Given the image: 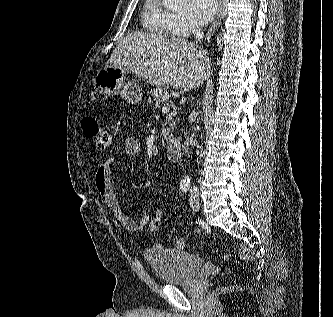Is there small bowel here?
Masks as SVG:
<instances>
[{
	"instance_id": "obj_1",
	"label": "small bowel",
	"mask_w": 333,
	"mask_h": 317,
	"mask_svg": "<svg viewBox=\"0 0 333 317\" xmlns=\"http://www.w3.org/2000/svg\"><path fill=\"white\" fill-rule=\"evenodd\" d=\"M140 140L133 135L127 136L121 146L120 152L124 155H135L140 151ZM117 153L105 158L98 166L94 181L95 187L107 208L113 214L115 220L130 232L142 231L151 219L150 215H143L140 219H134L127 215L115 195L112 187V170L116 163Z\"/></svg>"
}]
</instances>
